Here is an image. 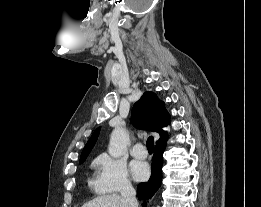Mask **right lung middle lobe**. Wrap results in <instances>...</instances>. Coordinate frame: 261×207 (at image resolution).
Returning a JSON list of instances; mask_svg holds the SVG:
<instances>
[{
    "label": "right lung middle lobe",
    "mask_w": 261,
    "mask_h": 207,
    "mask_svg": "<svg viewBox=\"0 0 261 207\" xmlns=\"http://www.w3.org/2000/svg\"><path fill=\"white\" fill-rule=\"evenodd\" d=\"M86 158H82L80 159V163H83L85 161Z\"/></svg>",
    "instance_id": "obj_1"
}]
</instances>
